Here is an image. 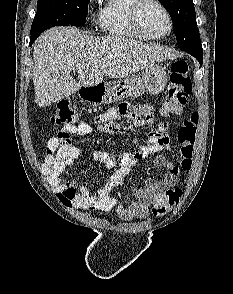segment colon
Here are the masks:
<instances>
[{"label": "colon", "instance_id": "1", "mask_svg": "<svg viewBox=\"0 0 233 294\" xmlns=\"http://www.w3.org/2000/svg\"><path fill=\"white\" fill-rule=\"evenodd\" d=\"M191 91L192 81L189 75L188 63L185 60H177L172 65L161 114L164 116L181 114ZM78 119V114L68 102L58 103L51 116V121L55 125H77L79 123ZM198 124L199 115L194 112L183 121L178 130V141L180 143L179 166L185 174H188L192 167ZM69 193L72 194L73 191L70 190ZM182 195L181 188H170L157 194L153 201V214L158 216L166 214L180 202Z\"/></svg>", "mask_w": 233, "mask_h": 294}]
</instances>
